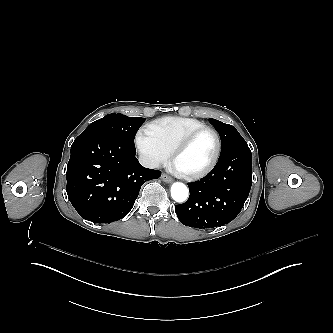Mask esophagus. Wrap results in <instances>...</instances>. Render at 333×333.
Instances as JSON below:
<instances>
[{"instance_id": "1", "label": "esophagus", "mask_w": 333, "mask_h": 333, "mask_svg": "<svg viewBox=\"0 0 333 333\" xmlns=\"http://www.w3.org/2000/svg\"><path fill=\"white\" fill-rule=\"evenodd\" d=\"M161 179L165 183H171L173 181V179L170 176H168L166 173H162Z\"/></svg>"}]
</instances>
